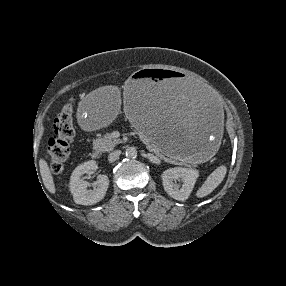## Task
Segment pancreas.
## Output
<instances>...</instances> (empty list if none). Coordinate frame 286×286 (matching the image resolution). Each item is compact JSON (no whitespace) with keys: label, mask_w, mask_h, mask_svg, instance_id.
<instances>
[{"label":"pancreas","mask_w":286,"mask_h":286,"mask_svg":"<svg viewBox=\"0 0 286 286\" xmlns=\"http://www.w3.org/2000/svg\"><path fill=\"white\" fill-rule=\"evenodd\" d=\"M142 141L147 145L149 151L154 152L156 155L160 156L165 161L174 163L177 159H181L179 157L174 156H168L169 158H166L163 153H161L157 147L152 146L146 138H143ZM119 143H121L120 139H115L110 133H107L103 137L93 141V148L101 152H109L113 150V148Z\"/></svg>","instance_id":"1"}]
</instances>
